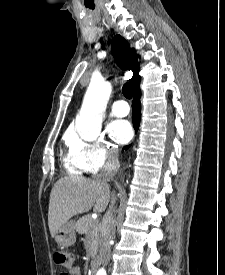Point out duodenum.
Segmentation results:
<instances>
[{
    "instance_id": "obj_1",
    "label": "duodenum",
    "mask_w": 225,
    "mask_h": 275,
    "mask_svg": "<svg viewBox=\"0 0 225 275\" xmlns=\"http://www.w3.org/2000/svg\"><path fill=\"white\" fill-rule=\"evenodd\" d=\"M95 270H96V258L92 257L90 261V273L91 275H95Z\"/></svg>"
}]
</instances>
